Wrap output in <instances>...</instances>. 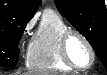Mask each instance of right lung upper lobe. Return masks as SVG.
<instances>
[{"label":"right lung upper lobe","instance_id":"right-lung-upper-lobe-1","mask_svg":"<svg viewBox=\"0 0 107 75\" xmlns=\"http://www.w3.org/2000/svg\"><path fill=\"white\" fill-rule=\"evenodd\" d=\"M41 0H1L0 30L15 23H27Z\"/></svg>","mask_w":107,"mask_h":75}]
</instances>
